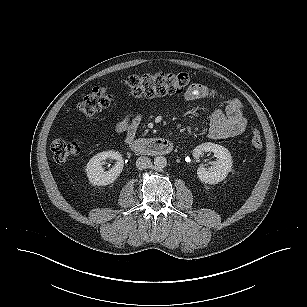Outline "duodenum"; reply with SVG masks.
<instances>
[{
  "label": "duodenum",
  "instance_id": "obj_1",
  "mask_svg": "<svg viewBox=\"0 0 307 307\" xmlns=\"http://www.w3.org/2000/svg\"><path fill=\"white\" fill-rule=\"evenodd\" d=\"M129 147L136 153L153 156H164L173 150L172 142L161 137L132 140Z\"/></svg>",
  "mask_w": 307,
  "mask_h": 307
}]
</instances>
